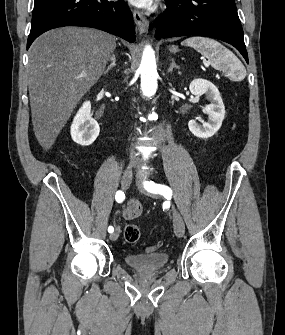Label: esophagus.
Returning <instances> with one entry per match:
<instances>
[{
    "instance_id": "obj_1",
    "label": "esophagus",
    "mask_w": 285,
    "mask_h": 335,
    "mask_svg": "<svg viewBox=\"0 0 285 335\" xmlns=\"http://www.w3.org/2000/svg\"><path fill=\"white\" fill-rule=\"evenodd\" d=\"M133 17L139 32L145 33L149 28V21L138 10L133 11Z\"/></svg>"
}]
</instances>
